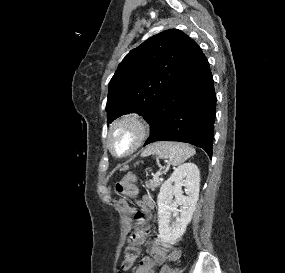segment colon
Returning a JSON list of instances; mask_svg holds the SVG:
<instances>
[{"label":"colon","instance_id":"obj_1","mask_svg":"<svg viewBox=\"0 0 285 273\" xmlns=\"http://www.w3.org/2000/svg\"><path fill=\"white\" fill-rule=\"evenodd\" d=\"M115 191L118 195L125 196L129 199H133V206H136V211H134V216L136 219V227L131 233L128 245L124 249L123 260L121 262V267L119 273L128 271L133 266V263L139 256V247L144 241L146 232L149 228L148 216L150 212L148 211L149 206L145 201L138 199V187L136 184V177L134 175H127L122 181L116 184Z\"/></svg>","mask_w":285,"mask_h":273}]
</instances>
